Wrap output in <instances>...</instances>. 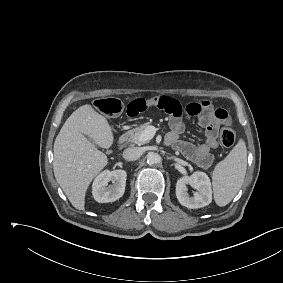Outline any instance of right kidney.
<instances>
[{
  "mask_svg": "<svg viewBox=\"0 0 283 283\" xmlns=\"http://www.w3.org/2000/svg\"><path fill=\"white\" fill-rule=\"evenodd\" d=\"M124 170L103 171L94 180L92 194L99 203L114 202L123 196L126 185ZM112 181L111 185L108 183Z\"/></svg>",
  "mask_w": 283,
  "mask_h": 283,
  "instance_id": "1",
  "label": "right kidney"
}]
</instances>
